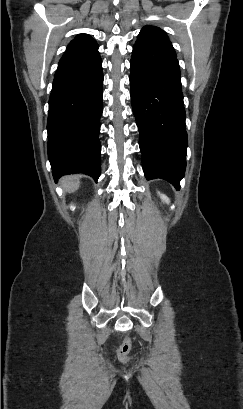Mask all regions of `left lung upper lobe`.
<instances>
[{
  "label": "left lung upper lobe",
  "instance_id": "left-lung-upper-lobe-1",
  "mask_svg": "<svg viewBox=\"0 0 243 409\" xmlns=\"http://www.w3.org/2000/svg\"><path fill=\"white\" fill-rule=\"evenodd\" d=\"M166 40L168 37L163 30L155 26H145L139 33L135 45H151Z\"/></svg>",
  "mask_w": 243,
  "mask_h": 409
}]
</instances>
